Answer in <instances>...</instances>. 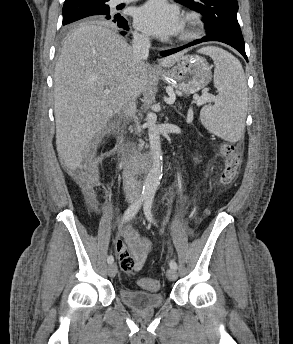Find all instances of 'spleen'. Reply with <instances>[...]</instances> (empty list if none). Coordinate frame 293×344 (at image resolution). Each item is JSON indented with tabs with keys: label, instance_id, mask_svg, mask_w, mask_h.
<instances>
[{
	"label": "spleen",
	"instance_id": "spleen-1",
	"mask_svg": "<svg viewBox=\"0 0 293 344\" xmlns=\"http://www.w3.org/2000/svg\"><path fill=\"white\" fill-rule=\"evenodd\" d=\"M199 52L214 61V86L218 91L215 104L202 108L201 122L211 133L236 142L244 132L247 111V86L242 65L231 53L218 47H204Z\"/></svg>",
	"mask_w": 293,
	"mask_h": 344
}]
</instances>
